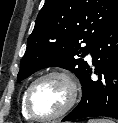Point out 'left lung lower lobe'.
Wrapping results in <instances>:
<instances>
[{
    "label": "left lung lower lobe",
    "mask_w": 118,
    "mask_h": 123,
    "mask_svg": "<svg viewBox=\"0 0 118 123\" xmlns=\"http://www.w3.org/2000/svg\"><path fill=\"white\" fill-rule=\"evenodd\" d=\"M94 73L88 68L82 82V99L62 121L107 116L118 119V18L100 35L91 49Z\"/></svg>",
    "instance_id": "1"
}]
</instances>
